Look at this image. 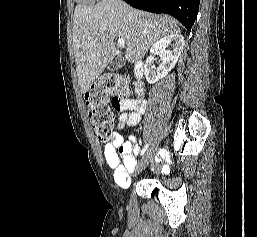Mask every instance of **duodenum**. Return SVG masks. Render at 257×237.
<instances>
[{
  "instance_id": "1",
  "label": "duodenum",
  "mask_w": 257,
  "mask_h": 237,
  "mask_svg": "<svg viewBox=\"0 0 257 237\" xmlns=\"http://www.w3.org/2000/svg\"><path fill=\"white\" fill-rule=\"evenodd\" d=\"M134 75H135V79H136V85L138 88H141L142 86V81L144 79L145 76V69H144V64L141 61H138L135 64L134 67Z\"/></svg>"
}]
</instances>
